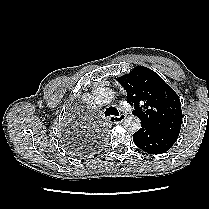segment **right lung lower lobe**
<instances>
[{
	"label": "right lung lower lobe",
	"mask_w": 209,
	"mask_h": 209,
	"mask_svg": "<svg viewBox=\"0 0 209 209\" xmlns=\"http://www.w3.org/2000/svg\"><path fill=\"white\" fill-rule=\"evenodd\" d=\"M101 145V139L88 141L86 143H79V144H70V148L73 152L77 155H88L91 152L95 151Z\"/></svg>",
	"instance_id": "right-lung-lower-lobe-1"
}]
</instances>
